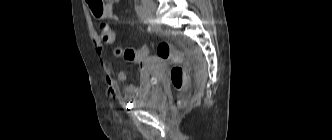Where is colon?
Instances as JSON below:
<instances>
[{
	"mask_svg": "<svg viewBox=\"0 0 332 140\" xmlns=\"http://www.w3.org/2000/svg\"><path fill=\"white\" fill-rule=\"evenodd\" d=\"M88 7L92 14L96 18H101L103 15L108 0H86ZM100 35L108 37L116 35L114 27L107 21H101L99 24ZM120 55L132 62H139L143 60L148 54L147 47H141L139 49L128 48L121 50ZM157 55L166 61H169L173 66L170 70V80L172 85L178 90L183 91L188 85V75L183 66V56L182 54L174 49V47L168 42H160L157 45ZM188 103V99L183 97L179 100V106H185Z\"/></svg>",
	"mask_w": 332,
	"mask_h": 140,
	"instance_id": "5ec220e1",
	"label": "colon"
}]
</instances>
